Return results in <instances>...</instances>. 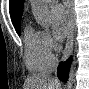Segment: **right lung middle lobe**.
I'll return each instance as SVG.
<instances>
[{
  "instance_id": "dd1d6c3e",
  "label": "right lung middle lobe",
  "mask_w": 89,
  "mask_h": 89,
  "mask_svg": "<svg viewBox=\"0 0 89 89\" xmlns=\"http://www.w3.org/2000/svg\"><path fill=\"white\" fill-rule=\"evenodd\" d=\"M16 32L18 33V35H21V29L16 30Z\"/></svg>"
}]
</instances>
